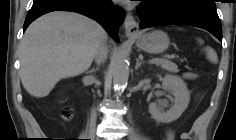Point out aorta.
Returning <instances> with one entry per match:
<instances>
[{"label": "aorta", "mask_w": 236, "mask_h": 140, "mask_svg": "<svg viewBox=\"0 0 236 140\" xmlns=\"http://www.w3.org/2000/svg\"><path fill=\"white\" fill-rule=\"evenodd\" d=\"M127 62L128 53L125 49H121L113 61V84L118 92L122 91L128 82L129 67Z\"/></svg>", "instance_id": "aorta-1"}]
</instances>
